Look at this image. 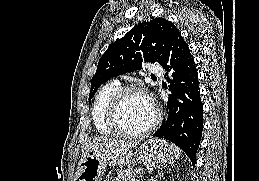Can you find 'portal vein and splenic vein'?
<instances>
[{
	"mask_svg": "<svg viewBox=\"0 0 259 181\" xmlns=\"http://www.w3.org/2000/svg\"><path fill=\"white\" fill-rule=\"evenodd\" d=\"M132 181H140V179L134 178V179H132Z\"/></svg>",
	"mask_w": 259,
	"mask_h": 181,
	"instance_id": "18ae733b",
	"label": "portal vein and splenic vein"
}]
</instances>
